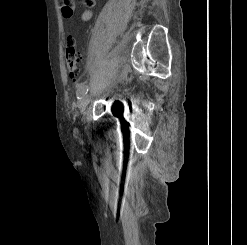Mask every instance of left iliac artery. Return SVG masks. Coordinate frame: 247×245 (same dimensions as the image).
Segmentation results:
<instances>
[{
  "label": "left iliac artery",
  "mask_w": 247,
  "mask_h": 245,
  "mask_svg": "<svg viewBox=\"0 0 247 245\" xmlns=\"http://www.w3.org/2000/svg\"><path fill=\"white\" fill-rule=\"evenodd\" d=\"M88 92V87L86 84L84 83H81L79 86H78V89H77V98L78 99H81L84 95H86Z\"/></svg>",
  "instance_id": "44dca946"
}]
</instances>
